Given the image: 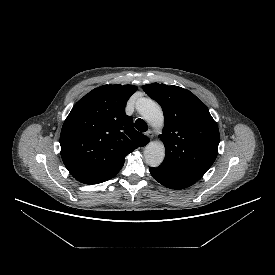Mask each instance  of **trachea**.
I'll return each instance as SVG.
<instances>
[{"mask_svg":"<svg viewBox=\"0 0 275 275\" xmlns=\"http://www.w3.org/2000/svg\"><path fill=\"white\" fill-rule=\"evenodd\" d=\"M135 128L141 132H146L148 130L146 122L141 118H138L135 121Z\"/></svg>","mask_w":275,"mask_h":275,"instance_id":"3493384b","label":"trachea"}]
</instances>
